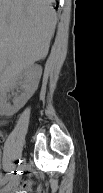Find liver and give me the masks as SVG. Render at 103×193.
<instances>
[{
  "instance_id": "liver-1",
  "label": "liver",
  "mask_w": 103,
  "mask_h": 193,
  "mask_svg": "<svg viewBox=\"0 0 103 193\" xmlns=\"http://www.w3.org/2000/svg\"><path fill=\"white\" fill-rule=\"evenodd\" d=\"M54 0H0V79L44 59L54 35Z\"/></svg>"
}]
</instances>
